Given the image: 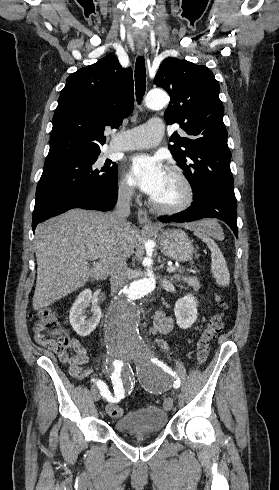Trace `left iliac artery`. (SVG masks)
I'll use <instances>...</instances> for the list:
<instances>
[{"label":"left iliac artery","instance_id":"obj_1","mask_svg":"<svg viewBox=\"0 0 279 490\" xmlns=\"http://www.w3.org/2000/svg\"><path fill=\"white\" fill-rule=\"evenodd\" d=\"M151 361L155 364H157L159 367H161L165 372L170 373L175 376V372L171 370L165 363L162 361H159L158 358H152Z\"/></svg>","mask_w":279,"mask_h":490}]
</instances>
